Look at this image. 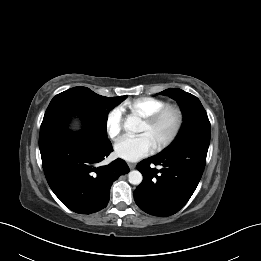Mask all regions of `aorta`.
<instances>
[{"mask_svg":"<svg viewBox=\"0 0 261 261\" xmlns=\"http://www.w3.org/2000/svg\"><path fill=\"white\" fill-rule=\"evenodd\" d=\"M124 129L126 131H131V132H141L140 118L129 115L124 122ZM128 179L131 184L139 185L142 182L143 177L139 171L133 170L129 172Z\"/></svg>","mask_w":261,"mask_h":261,"instance_id":"obj_1","label":"aorta"}]
</instances>
